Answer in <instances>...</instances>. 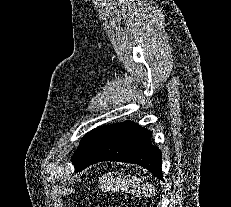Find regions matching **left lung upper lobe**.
I'll return each mask as SVG.
<instances>
[{"label": "left lung upper lobe", "mask_w": 231, "mask_h": 207, "mask_svg": "<svg viewBox=\"0 0 231 207\" xmlns=\"http://www.w3.org/2000/svg\"><path fill=\"white\" fill-rule=\"evenodd\" d=\"M102 126L97 127L96 129H93L92 131L88 132L80 141V145L75 153V155L72 157V163L76 167L83 156L85 155L86 151L92 144L93 140L95 139L96 135L100 131Z\"/></svg>", "instance_id": "1"}]
</instances>
